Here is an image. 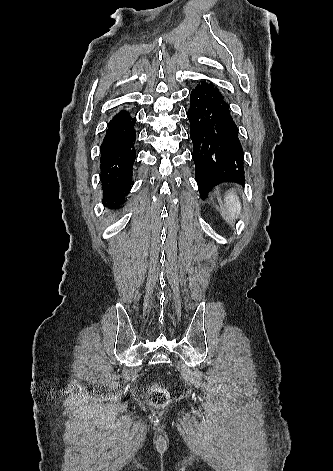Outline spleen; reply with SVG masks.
Returning a JSON list of instances; mask_svg holds the SVG:
<instances>
[{"label": "spleen", "instance_id": "spleen-1", "mask_svg": "<svg viewBox=\"0 0 333 471\" xmlns=\"http://www.w3.org/2000/svg\"><path fill=\"white\" fill-rule=\"evenodd\" d=\"M225 206L231 220L237 218L241 213V202L235 192L229 193L225 197Z\"/></svg>", "mask_w": 333, "mask_h": 471}]
</instances>
